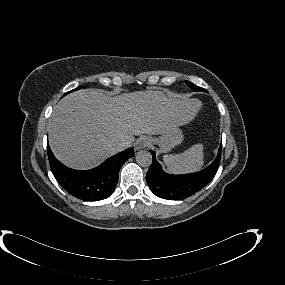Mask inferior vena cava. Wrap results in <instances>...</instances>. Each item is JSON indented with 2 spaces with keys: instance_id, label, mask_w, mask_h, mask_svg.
Listing matches in <instances>:
<instances>
[{
  "instance_id": "obj_1",
  "label": "inferior vena cava",
  "mask_w": 285,
  "mask_h": 285,
  "mask_svg": "<svg viewBox=\"0 0 285 285\" xmlns=\"http://www.w3.org/2000/svg\"><path fill=\"white\" fill-rule=\"evenodd\" d=\"M127 143L125 141H118L114 144V147L117 151H121L126 148Z\"/></svg>"
}]
</instances>
